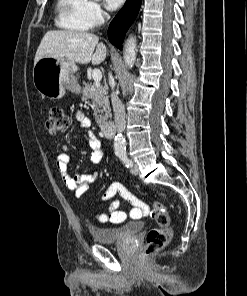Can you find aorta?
I'll return each instance as SVG.
<instances>
[{"mask_svg":"<svg viewBox=\"0 0 247 296\" xmlns=\"http://www.w3.org/2000/svg\"><path fill=\"white\" fill-rule=\"evenodd\" d=\"M98 1V0H96ZM136 39L134 37H130L124 47L123 58L126 66L132 68L136 61ZM125 146V141L123 136L118 135L114 141V147L116 149H123Z\"/></svg>","mask_w":247,"mask_h":296,"instance_id":"aorta-1","label":"aorta"}]
</instances>
